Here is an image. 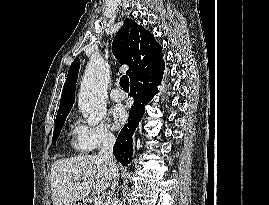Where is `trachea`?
Listing matches in <instances>:
<instances>
[{
  "mask_svg": "<svg viewBox=\"0 0 269 205\" xmlns=\"http://www.w3.org/2000/svg\"><path fill=\"white\" fill-rule=\"evenodd\" d=\"M120 86L126 91H129V78L126 75H123L120 78Z\"/></svg>",
  "mask_w": 269,
  "mask_h": 205,
  "instance_id": "obj_1",
  "label": "trachea"
}]
</instances>
